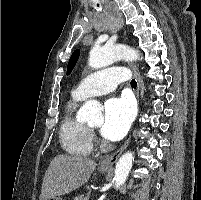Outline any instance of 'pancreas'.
I'll use <instances>...</instances> for the list:
<instances>
[{"label":"pancreas","instance_id":"obj_1","mask_svg":"<svg viewBox=\"0 0 201 200\" xmlns=\"http://www.w3.org/2000/svg\"><path fill=\"white\" fill-rule=\"evenodd\" d=\"M74 200H89L88 195H78L74 198Z\"/></svg>","mask_w":201,"mask_h":200}]
</instances>
